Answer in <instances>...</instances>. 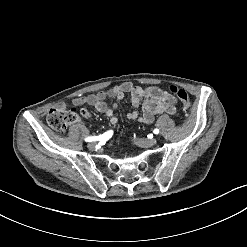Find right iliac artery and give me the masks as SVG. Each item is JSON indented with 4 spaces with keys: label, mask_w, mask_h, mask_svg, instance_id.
Listing matches in <instances>:
<instances>
[{
    "label": "right iliac artery",
    "mask_w": 247,
    "mask_h": 247,
    "mask_svg": "<svg viewBox=\"0 0 247 247\" xmlns=\"http://www.w3.org/2000/svg\"><path fill=\"white\" fill-rule=\"evenodd\" d=\"M113 135V131L110 130V131H107L105 132L104 134L102 135H99V136H91V137H86L85 138V141L86 142H92V141H107L109 138H111V136Z\"/></svg>",
    "instance_id": "82829eb1"
}]
</instances>
